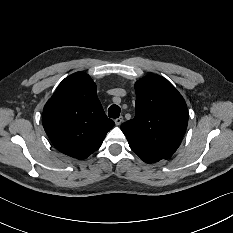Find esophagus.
I'll return each mask as SVG.
<instances>
[{
  "instance_id": "esophagus-1",
  "label": "esophagus",
  "mask_w": 233,
  "mask_h": 233,
  "mask_svg": "<svg viewBox=\"0 0 233 233\" xmlns=\"http://www.w3.org/2000/svg\"><path fill=\"white\" fill-rule=\"evenodd\" d=\"M123 119H124L123 116H120V117L116 118L115 119V124L117 126H119L122 123Z\"/></svg>"
}]
</instances>
